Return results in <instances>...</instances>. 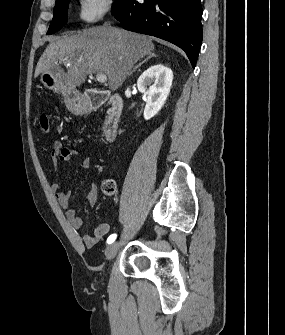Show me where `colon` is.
I'll return each instance as SVG.
<instances>
[{"instance_id": "5ec220e1", "label": "colon", "mask_w": 285, "mask_h": 335, "mask_svg": "<svg viewBox=\"0 0 285 335\" xmlns=\"http://www.w3.org/2000/svg\"><path fill=\"white\" fill-rule=\"evenodd\" d=\"M39 125L43 133H48L50 131V120L46 114H41L39 116ZM102 187L107 194H113L116 190V185L112 180H105Z\"/></svg>"}]
</instances>
